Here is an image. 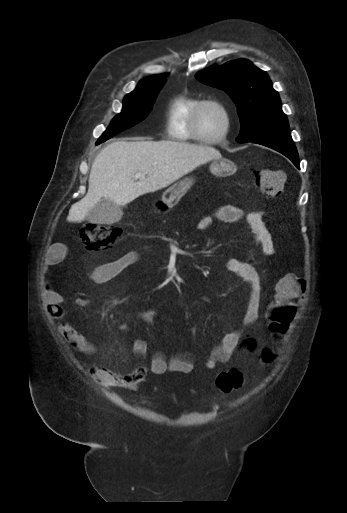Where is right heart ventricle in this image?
I'll use <instances>...</instances> for the list:
<instances>
[{
  "label": "right heart ventricle",
  "instance_id": "obj_1",
  "mask_svg": "<svg viewBox=\"0 0 347 513\" xmlns=\"http://www.w3.org/2000/svg\"><path fill=\"white\" fill-rule=\"evenodd\" d=\"M202 99L198 96L182 93L175 96L168 108L166 131L168 137L177 142L201 143L191 132V116Z\"/></svg>",
  "mask_w": 347,
  "mask_h": 513
}]
</instances>
